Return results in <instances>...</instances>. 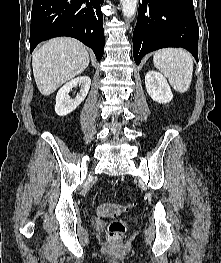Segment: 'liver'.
<instances>
[{
  "label": "liver",
  "mask_w": 221,
  "mask_h": 263,
  "mask_svg": "<svg viewBox=\"0 0 221 263\" xmlns=\"http://www.w3.org/2000/svg\"><path fill=\"white\" fill-rule=\"evenodd\" d=\"M86 47L78 40L59 37L47 41L32 57L33 75L40 93L52 94L89 65Z\"/></svg>",
  "instance_id": "liver-1"
}]
</instances>
